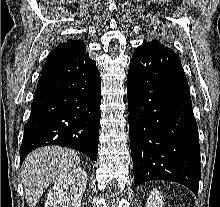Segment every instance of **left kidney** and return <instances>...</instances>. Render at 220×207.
I'll list each match as a JSON object with an SVG mask.
<instances>
[{"mask_svg": "<svg viewBox=\"0 0 220 207\" xmlns=\"http://www.w3.org/2000/svg\"><path fill=\"white\" fill-rule=\"evenodd\" d=\"M146 207H163V198L158 190H153L150 193Z\"/></svg>", "mask_w": 220, "mask_h": 207, "instance_id": "5707ae66", "label": "left kidney"}]
</instances>
